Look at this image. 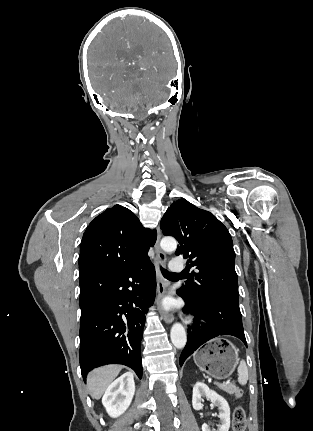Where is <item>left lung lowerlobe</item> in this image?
<instances>
[{
	"instance_id": "1",
	"label": "left lung lower lobe",
	"mask_w": 313,
	"mask_h": 431,
	"mask_svg": "<svg viewBox=\"0 0 313 431\" xmlns=\"http://www.w3.org/2000/svg\"><path fill=\"white\" fill-rule=\"evenodd\" d=\"M177 294L186 302L184 312H190L195 316L191 328L189 327L186 346L179 359L180 366L201 345L220 335L235 336L247 346L239 302L221 298L191 301L180 289Z\"/></svg>"
}]
</instances>
